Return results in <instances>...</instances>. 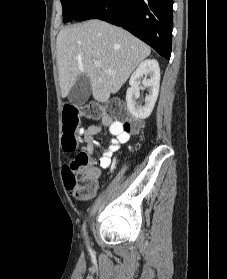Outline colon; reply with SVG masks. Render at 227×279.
Returning a JSON list of instances; mask_svg holds the SVG:
<instances>
[{"mask_svg":"<svg viewBox=\"0 0 227 279\" xmlns=\"http://www.w3.org/2000/svg\"><path fill=\"white\" fill-rule=\"evenodd\" d=\"M114 128L122 127L126 131H138V121L128 122V110L122 102L115 101L110 105ZM103 112V107L97 104L86 106L66 105L64 107V121L62 127V145L65 152H74L81 141V133L77 126L82 119L95 120ZM90 163L88 152L80 150L70 159L66 169V185L78 200H84L96 190L93 181H86L83 169Z\"/></svg>","mask_w":227,"mask_h":279,"instance_id":"colon-1","label":"colon"}]
</instances>
